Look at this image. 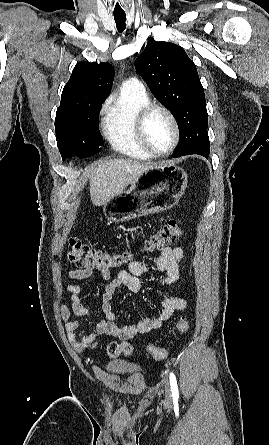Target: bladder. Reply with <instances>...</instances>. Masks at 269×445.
I'll return each mask as SVG.
<instances>
[{
    "mask_svg": "<svg viewBox=\"0 0 269 445\" xmlns=\"http://www.w3.org/2000/svg\"><path fill=\"white\" fill-rule=\"evenodd\" d=\"M105 370L111 375L125 376V375H138L143 376L144 371L130 366L122 361H110L106 363Z\"/></svg>",
    "mask_w": 269,
    "mask_h": 445,
    "instance_id": "31cf9c89",
    "label": "bladder"
}]
</instances>
